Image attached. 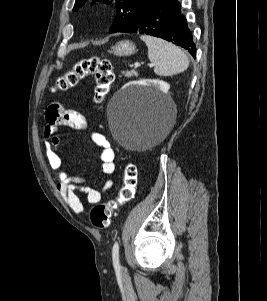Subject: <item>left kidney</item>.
Wrapping results in <instances>:
<instances>
[{
  "instance_id": "obj_1",
  "label": "left kidney",
  "mask_w": 267,
  "mask_h": 301,
  "mask_svg": "<svg viewBox=\"0 0 267 301\" xmlns=\"http://www.w3.org/2000/svg\"><path fill=\"white\" fill-rule=\"evenodd\" d=\"M145 81L143 82H136V83H129L125 87H130L132 85H143ZM147 82L151 83L152 85L156 86L158 89H160L162 92L167 93L170 85L164 81L160 80H148Z\"/></svg>"
}]
</instances>
